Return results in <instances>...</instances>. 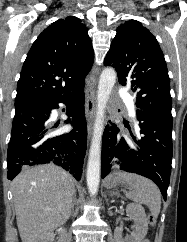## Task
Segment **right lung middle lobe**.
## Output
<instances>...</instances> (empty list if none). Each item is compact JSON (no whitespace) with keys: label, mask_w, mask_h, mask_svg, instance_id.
<instances>
[{"label":"right lung middle lobe","mask_w":187,"mask_h":242,"mask_svg":"<svg viewBox=\"0 0 187 242\" xmlns=\"http://www.w3.org/2000/svg\"><path fill=\"white\" fill-rule=\"evenodd\" d=\"M33 107H34V106L15 108V109H16V111H15V115H19V114H21V113H23V112H25V111H27V110L33 108Z\"/></svg>","instance_id":"1"}]
</instances>
